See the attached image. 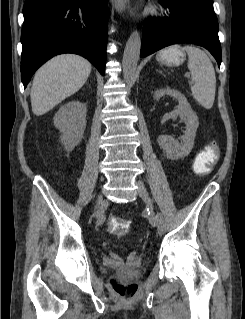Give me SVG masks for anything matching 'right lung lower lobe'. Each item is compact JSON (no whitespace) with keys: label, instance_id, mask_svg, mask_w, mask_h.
Here are the masks:
<instances>
[{"label":"right lung lower lobe","instance_id":"1","mask_svg":"<svg viewBox=\"0 0 245 319\" xmlns=\"http://www.w3.org/2000/svg\"><path fill=\"white\" fill-rule=\"evenodd\" d=\"M23 15L24 87L43 63L61 53L79 54L104 74L107 0H25Z\"/></svg>","mask_w":245,"mask_h":319}]
</instances>
